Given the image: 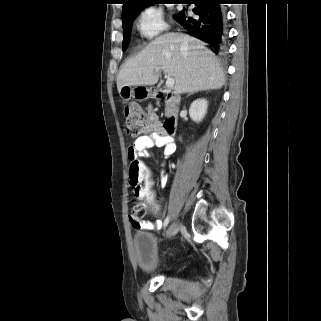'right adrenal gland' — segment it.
I'll use <instances>...</instances> for the list:
<instances>
[{"label":"right adrenal gland","instance_id":"obj_1","mask_svg":"<svg viewBox=\"0 0 321 321\" xmlns=\"http://www.w3.org/2000/svg\"><path fill=\"white\" fill-rule=\"evenodd\" d=\"M194 92H192V93H190V94H188V96L187 97H189L190 95H192Z\"/></svg>","mask_w":321,"mask_h":321}]
</instances>
